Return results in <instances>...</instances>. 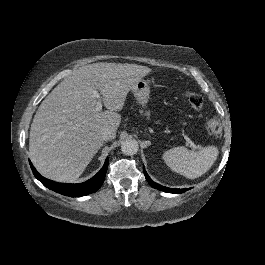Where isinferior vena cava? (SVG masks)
Here are the masks:
<instances>
[{"label": "inferior vena cava", "mask_w": 265, "mask_h": 265, "mask_svg": "<svg viewBox=\"0 0 265 265\" xmlns=\"http://www.w3.org/2000/svg\"><path fill=\"white\" fill-rule=\"evenodd\" d=\"M114 136V133L111 131V130H103L101 131V134H100V137L103 139V140H107V139H110Z\"/></svg>", "instance_id": "602c4592"}]
</instances>
